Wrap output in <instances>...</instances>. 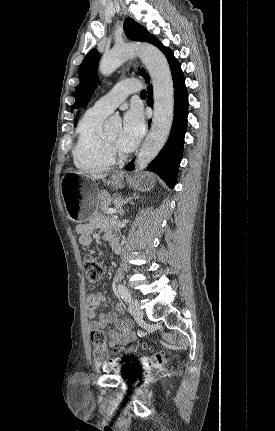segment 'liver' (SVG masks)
Here are the masks:
<instances>
[{
  "label": "liver",
  "mask_w": 275,
  "mask_h": 431,
  "mask_svg": "<svg viewBox=\"0 0 275 431\" xmlns=\"http://www.w3.org/2000/svg\"><path fill=\"white\" fill-rule=\"evenodd\" d=\"M78 174H82V173H78ZM91 177L93 179H103L105 177V175H91Z\"/></svg>",
  "instance_id": "obj_1"
}]
</instances>
